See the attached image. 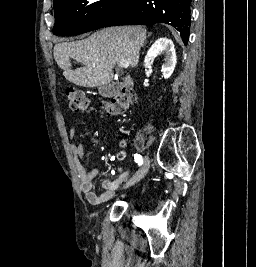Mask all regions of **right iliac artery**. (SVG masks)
I'll return each mask as SVG.
<instances>
[{"label":"right iliac artery","mask_w":256,"mask_h":267,"mask_svg":"<svg viewBox=\"0 0 256 267\" xmlns=\"http://www.w3.org/2000/svg\"><path fill=\"white\" fill-rule=\"evenodd\" d=\"M134 159L138 163V165H142L143 164V159H142V156L141 155L135 154L134 155Z\"/></svg>","instance_id":"1"}]
</instances>
